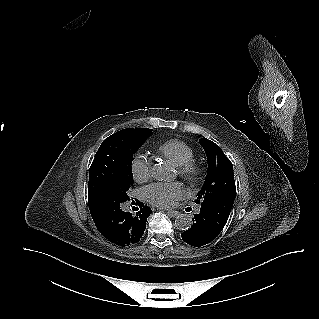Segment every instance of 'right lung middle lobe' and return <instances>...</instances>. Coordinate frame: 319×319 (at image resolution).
<instances>
[{
    "instance_id": "1",
    "label": "right lung middle lobe",
    "mask_w": 319,
    "mask_h": 319,
    "mask_svg": "<svg viewBox=\"0 0 319 319\" xmlns=\"http://www.w3.org/2000/svg\"><path fill=\"white\" fill-rule=\"evenodd\" d=\"M126 128L106 138L99 147L90 167L88 197L106 195L128 200V190L133 184V154L152 133Z\"/></svg>"
}]
</instances>
